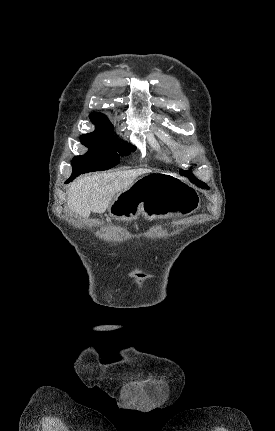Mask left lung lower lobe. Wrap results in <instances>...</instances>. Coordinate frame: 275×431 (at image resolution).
I'll return each mask as SVG.
<instances>
[{
    "label": "left lung lower lobe",
    "instance_id": "obj_1",
    "mask_svg": "<svg viewBox=\"0 0 275 431\" xmlns=\"http://www.w3.org/2000/svg\"><path fill=\"white\" fill-rule=\"evenodd\" d=\"M182 175V174H181ZM187 177V176H186ZM190 179V181L192 182V183H194V184H196V185H198V186H200V187H202V188H207L208 189V186L205 184V183H203V182H201V181H199L198 179H195V178H189Z\"/></svg>",
    "mask_w": 275,
    "mask_h": 431
}]
</instances>
